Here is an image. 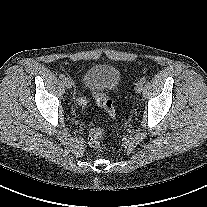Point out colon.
Listing matches in <instances>:
<instances>
[{
	"mask_svg": "<svg viewBox=\"0 0 207 207\" xmlns=\"http://www.w3.org/2000/svg\"><path fill=\"white\" fill-rule=\"evenodd\" d=\"M96 101H97V104L100 107L104 108L112 118L116 117L114 103H113V100L111 98H109L105 94H99L96 97ZM79 104L82 107L86 106V104H87L86 99L85 98H80ZM91 122H92V124L97 123L98 118L93 117ZM104 134H105V132L101 128L92 129L89 133V136H88L89 145L97 151H102L104 149V145L102 143V138H103Z\"/></svg>",
	"mask_w": 207,
	"mask_h": 207,
	"instance_id": "1",
	"label": "colon"
}]
</instances>
